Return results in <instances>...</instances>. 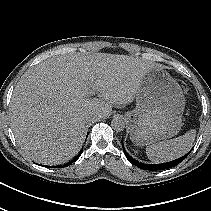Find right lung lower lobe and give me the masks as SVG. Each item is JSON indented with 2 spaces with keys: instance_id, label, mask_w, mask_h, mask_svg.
<instances>
[{
  "instance_id": "98d812e1",
  "label": "right lung lower lobe",
  "mask_w": 211,
  "mask_h": 211,
  "mask_svg": "<svg viewBox=\"0 0 211 211\" xmlns=\"http://www.w3.org/2000/svg\"><path fill=\"white\" fill-rule=\"evenodd\" d=\"M81 153H82V150L79 152V154H78L74 159H72L71 161H69L67 164H65V165H63V166H68V165H70L72 162L76 161V160L80 157Z\"/></svg>"
}]
</instances>
